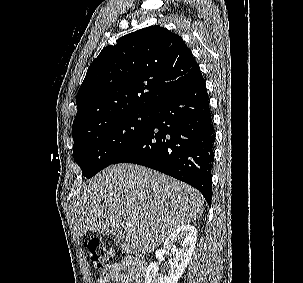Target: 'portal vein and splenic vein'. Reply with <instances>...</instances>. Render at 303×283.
I'll return each instance as SVG.
<instances>
[{
    "label": "portal vein and splenic vein",
    "mask_w": 303,
    "mask_h": 283,
    "mask_svg": "<svg viewBox=\"0 0 303 283\" xmlns=\"http://www.w3.org/2000/svg\"><path fill=\"white\" fill-rule=\"evenodd\" d=\"M131 220L130 219H127V223L130 225L131 224Z\"/></svg>",
    "instance_id": "obj_1"
}]
</instances>
